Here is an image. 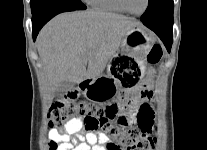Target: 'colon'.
Wrapping results in <instances>:
<instances>
[{
  "mask_svg": "<svg viewBox=\"0 0 207 150\" xmlns=\"http://www.w3.org/2000/svg\"><path fill=\"white\" fill-rule=\"evenodd\" d=\"M163 57L160 45H154L147 61L157 65ZM153 87L125 96L120 102L100 105L96 102L65 97L58 100L50 109L48 118L51 127H59L69 120H83L88 131L103 130L110 141L106 150H154L155 138L151 135L154 116L157 115ZM50 150H57L58 144L50 141Z\"/></svg>",
  "mask_w": 207,
  "mask_h": 150,
  "instance_id": "5ec220e1",
  "label": "colon"
}]
</instances>
